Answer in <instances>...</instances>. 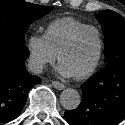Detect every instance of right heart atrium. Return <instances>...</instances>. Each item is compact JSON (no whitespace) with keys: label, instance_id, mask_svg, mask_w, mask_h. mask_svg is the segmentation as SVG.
<instances>
[{"label":"right heart atrium","instance_id":"right-heart-atrium-1","mask_svg":"<svg viewBox=\"0 0 125 125\" xmlns=\"http://www.w3.org/2000/svg\"><path fill=\"white\" fill-rule=\"evenodd\" d=\"M26 50L31 69L40 73L44 68L52 64L57 55L50 49L43 34L33 33L26 39Z\"/></svg>","mask_w":125,"mask_h":125}]
</instances>
